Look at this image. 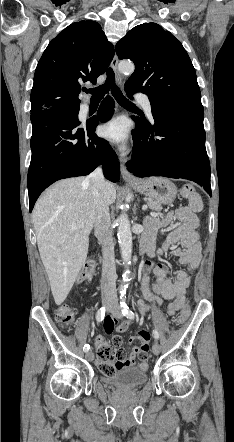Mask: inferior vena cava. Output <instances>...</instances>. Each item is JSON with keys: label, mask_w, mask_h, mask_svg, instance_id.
<instances>
[{"label": "inferior vena cava", "mask_w": 234, "mask_h": 442, "mask_svg": "<svg viewBox=\"0 0 234 442\" xmlns=\"http://www.w3.org/2000/svg\"><path fill=\"white\" fill-rule=\"evenodd\" d=\"M86 182L90 184L97 204L95 219V234L102 245L103 265L101 279V294L106 299H114L116 294V265L114 256V241L111 229L109 207L105 201V178L102 168L97 167L87 176Z\"/></svg>", "instance_id": "1"}]
</instances>
